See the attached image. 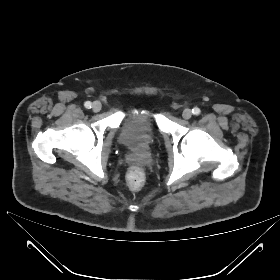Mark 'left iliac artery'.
Returning <instances> with one entry per match:
<instances>
[{
	"label": "left iliac artery",
	"mask_w": 280,
	"mask_h": 280,
	"mask_svg": "<svg viewBox=\"0 0 280 280\" xmlns=\"http://www.w3.org/2000/svg\"><path fill=\"white\" fill-rule=\"evenodd\" d=\"M200 112H201L200 109L197 108V107H194V108L192 109V113H193L194 115H199Z\"/></svg>",
	"instance_id": "44dca946"
}]
</instances>
